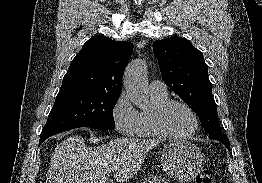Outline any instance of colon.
<instances>
[{"label":"colon","mask_w":262,"mask_h":183,"mask_svg":"<svg viewBox=\"0 0 262 183\" xmlns=\"http://www.w3.org/2000/svg\"><path fill=\"white\" fill-rule=\"evenodd\" d=\"M196 183H211V173L209 171L201 172L196 178Z\"/></svg>","instance_id":"obj_1"}]
</instances>
